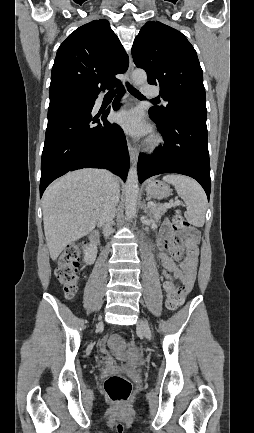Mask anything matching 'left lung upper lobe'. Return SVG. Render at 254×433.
<instances>
[{
    "label": "left lung upper lobe",
    "instance_id": "obj_1",
    "mask_svg": "<svg viewBox=\"0 0 254 433\" xmlns=\"http://www.w3.org/2000/svg\"><path fill=\"white\" fill-rule=\"evenodd\" d=\"M132 56L147 73L149 84L159 85L167 106L149 111L165 121L184 112L207 116L203 73L195 49L179 31L149 21L134 40Z\"/></svg>",
    "mask_w": 254,
    "mask_h": 433
}]
</instances>
